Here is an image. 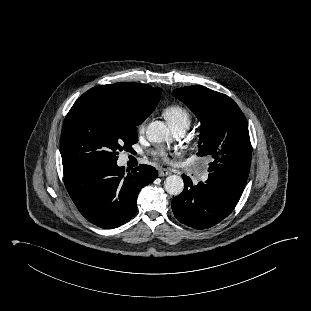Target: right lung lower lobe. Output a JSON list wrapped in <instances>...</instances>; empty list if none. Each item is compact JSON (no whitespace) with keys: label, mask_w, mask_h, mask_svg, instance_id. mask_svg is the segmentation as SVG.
<instances>
[{"label":"right lung lower lobe","mask_w":311,"mask_h":311,"mask_svg":"<svg viewBox=\"0 0 311 311\" xmlns=\"http://www.w3.org/2000/svg\"><path fill=\"white\" fill-rule=\"evenodd\" d=\"M124 171L116 162L63 164L67 191L89 222L104 229L125 224L137 210L140 189L158 176L154 167L144 164L127 175Z\"/></svg>","instance_id":"right-lung-lower-lobe-1"}]
</instances>
